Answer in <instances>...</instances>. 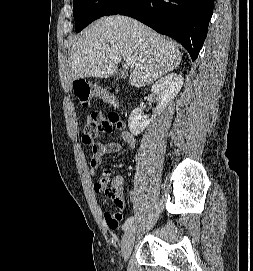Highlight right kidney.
<instances>
[{
	"mask_svg": "<svg viewBox=\"0 0 253 271\" xmlns=\"http://www.w3.org/2000/svg\"><path fill=\"white\" fill-rule=\"evenodd\" d=\"M183 81L184 79L181 75L172 73L162 77L152 86L151 92L158 96V105L155 113L149 119L142 113L141 108H135L128 119V127L133 135L137 136L142 133L155 120L156 116L166 109L180 92Z\"/></svg>",
	"mask_w": 253,
	"mask_h": 271,
	"instance_id": "obj_1",
	"label": "right kidney"
}]
</instances>
